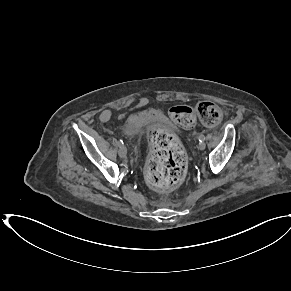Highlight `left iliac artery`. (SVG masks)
<instances>
[{"label":"left iliac artery","instance_id":"left-iliac-artery-1","mask_svg":"<svg viewBox=\"0 0 291 291\" xmlns=\"http://www.w3.org/2000/svg\"><path fill=\"white\" fill-rule=\"evenodd\" d=\"M204 140H205V136H204V135H200V136H199V141L202 142V141H204Z\"/></svg>","mask_w":291,"mask_h":291}]
</instances>
